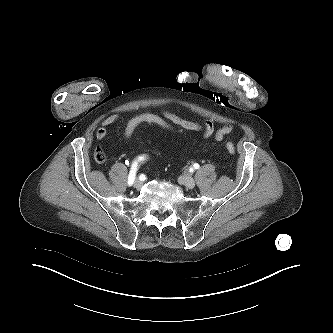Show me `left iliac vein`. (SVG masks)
Wrapping results in <instances>:
<instances>
[{"mask_svg": "<svg viewBox=\"0 0 333 333\" xmlns=\"http://www.w3.org/2000/svg\"><path fill=\"white\" fill-rule=\"evenodd\" d=\"M181 185L186 188L193 189L195 187V180L189 174H183L178 179Z\"/></svg>", "mask_w": 333, "mask_h": 333, "instance_id": "1", "label": "left iliac vein"}]
</instances>
